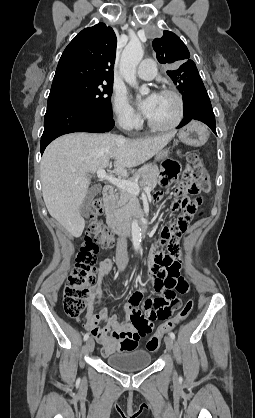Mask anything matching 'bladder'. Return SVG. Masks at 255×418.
<instances>
[{
	"mask_svg": "<svg viewBox=\"0 0 255 418\" xmlns=\"http://www.w3.org/2000/svg\"><path fill=\"white\" fill-rule=\"evenodd\" d=\"M152 362L150 352L139 349L120 354H113L106 358V363L119 371L132 372L148 367Z\"/></svg>",
	"mask_w": 255,
	"mask_h": 418,
	"instance_id": "1",
	"label": "bladder"
}]
</instances>
